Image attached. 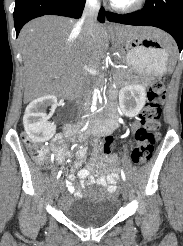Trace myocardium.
Wrapping results in <instances>:
<instances>
[{
	"mask_svg": "<svg viewBox=\"0 0 183 246\" xmlns=\"http://www.w3.org/2000/svg\"><path fill=\"white\" fill-rule=\"evenodd\" d=\"M145 2L146 0H132L127 4H121L113 0L110 6L113 10L120 13H132L141 9Z\"/></svg>",
	"mask_w": 183,
	"mask_h": 246,
	"instance_id": "obj_1",
	"label": "myocardium"
}]
</instances>
